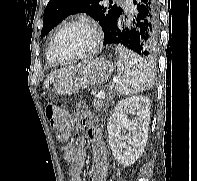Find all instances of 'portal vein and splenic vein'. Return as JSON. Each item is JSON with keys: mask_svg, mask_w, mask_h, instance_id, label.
I'll use <instances>...</instances> for the list:
<instances>
[{"mask_svg": "<svg viewBox=\"0 0 197 181\" xmlns=\"http://www.w3.org/2000/svg\"><path fill=\"white\" fill-rule=\"evenodd\" d=\"M110 89H112V87ZM97 96H98L99 99H105V91L104 90H100L98 92Z\"/></svg>", "mask_w": 197, "mask_h": 181, "instance_id": "obj_1", "label": "portal vein and splenic vein"}]
</instances>
